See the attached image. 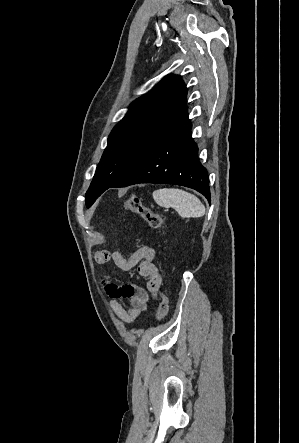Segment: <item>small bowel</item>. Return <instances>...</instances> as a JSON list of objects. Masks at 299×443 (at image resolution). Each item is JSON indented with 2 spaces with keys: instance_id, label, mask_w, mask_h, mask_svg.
Instances as JSON below:
<instances>
[{
  "instance_id": "c3829d8e",
  "label": "small bowel",
  "mask_w": 299,
  "mask_h": 443,
  "mask_svg": "<svg viewBox=\"0 0 299 443\" xmlns=\"http://www.w3.org/2000/svg\"><path fill=\"white\" fill-rule=\"evenodd\" d=\"M155 250L144 246L132 253L128 258L118 250H101L95 253V261L104 264L112 261L115 266L123 271L137 267L139 275L144 279L146 287L135 284H118L106 279L101 281L103 289L110 298V306L114 313L126 323H133L146 309L150 296H154L161 285L160 271L154 264ZM129 301L123 306L119 300Z\"/></svg>"
}]
</instances>
